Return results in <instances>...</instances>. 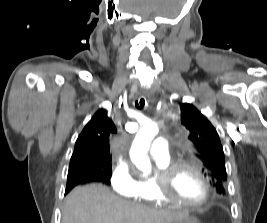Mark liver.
I'll list each match as a JSON object with an SVG mask.
<instances>
[{"mask_svg":"<svg viewBox=\"0 0 267 223\" xmlns=\"http://www.w3.org/2000/svg\"><path fill=\"white\" fill-rule=\"evenodd\" d=\"M186 211L163 210L127 201L102 184L72 190L65 199L62 223H171Z\"/></svg>","mask_w":267,"mask_h":223,"instance_id":"6515ba94","label":"liver"}]
</instances>
